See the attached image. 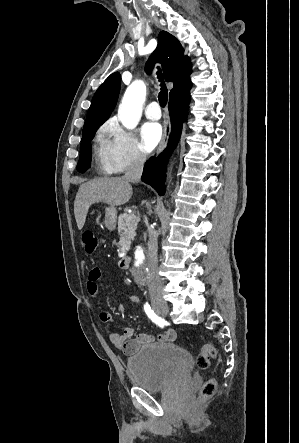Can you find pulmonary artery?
<instances>
[{"label":"pulmonary artery","instance_id":"obj_1","mask_svg":"<svg viewBox=\"0 0 299 443\" xmlns=\"http://www.w3.org/2000/svg\"><path fill=\"white\" fill-rule=\"evenodd\" d=\"M145 116L151 120H158L161 118L160 105L156 101H152L145 109Z\"/></svg>","mask_w":299,"mask_h":443}]
</instances>
